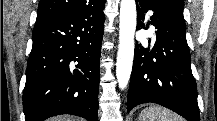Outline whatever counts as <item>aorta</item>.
I'll list each match as a JSON object with an SVG mask.
<instances>
[{
  "label": "aorta",
  "instance_id": "762f6f07",
  "mask_svg": "<svg viewBox=\"0 0 217 121\" xmlns=\"http://www.w3.org/2000/svg\"><path fill=\"white\" fill-rule=\"evenodd\" d=\"M136 21L135 0H121L116 76L119 88L122 90L128 85L132 71Z\"/></svg>",
  "mask_w": 217,
  "mask_h": 121
}]
</instances>
